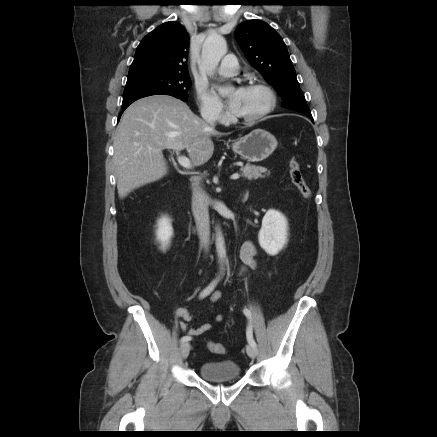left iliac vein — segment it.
I'll return each instance as SVG.
<instances>
[{"mask_svg":"<svg viewBox=\"0 0 437 437\" xmlns=\"http://www.w3.org/2000/svg\"><path fill=\"white\" fill-rule=\"evenodd\" d=\"M246 351L250 358H255L257 356V349L250 344L246 347Z\"/></svg>","mask_w":437,"mask_h":437,"instance_id":"1","label":"left iliac vein"}]
</instances>
